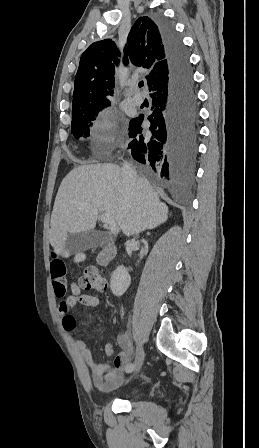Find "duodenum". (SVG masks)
Wrapping results in <instances>:
<instances>
[{"label":"duodenum","instance_id":"410a0bca","mask_svg":"<svg viewBox=\"0 0 259 448\" xmlns=\"http://www.w3.org/2000/svg\"><path fill=\"white\" fill-rule=\"evenodd\" d=\"M115 255L116 248L112 245H109L99 252L97 262L100 266L107 267L111 264Z\"/></svg>","mask_w":259,"mask_h":448}]
</instances>
